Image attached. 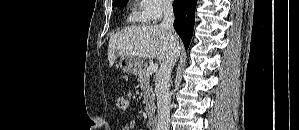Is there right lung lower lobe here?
I'll use <instances>...</instances> for the list:
<instances>
[{
	"instance_id": "right-lung-lower-lobe-1",
	"label": "right lung lower lobe",
	"mask_w": 299,
	"mask_h": 130,
	"mask_svg": "<svg viewBox=\"0 0 299 130\" xmlns=\"http://www.w3.org/2000/svg\"><path fill=\"white\" fill-rule=\"evenodd\" d=\"M197 0H175L173 10L175 14L174 28L181 37L185 48L189 47L194 27V11Z\"/></svg>"
}]
</instances>
